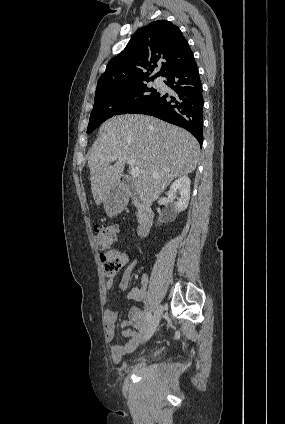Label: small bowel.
I'll use <instances>...</instances> for the list:
<instances>
[{
    "mask_svg": "<svg viewBox=\"0 0 285 424\" xmlns=\"http://www.w3.org/2000/svg\"><path fill=\"white\" fill-rule=\"evenodd\" d=\"M120 260L123 266H126L124 270L119 287L121 290H126L130 281L131 273L137 263L134 258L131 262L128 255L123 250L120 254ZM114 277L108 278L105 290L109 293L114 284ZM148 278L146 275H142L140 285L133 288L127 295V299L131 301H145L147 297ZM148 306L144 305L143 308L132 307L127 314L125 320L121 322L122 336L127 338L126 343H115L111 346V358L114 362H118L121 357L135 349L138 343L142 340L147 326V314ZM119 313L116 309H107L104 313V334L105 340L111 343L115 337V325L118 320Z\"/></svg>",
    "mask_w": 285,
    "mask_h": 424,
    "instance_id": "small-bowel-1",
    "label": "small bowel"
}]
</instances>
